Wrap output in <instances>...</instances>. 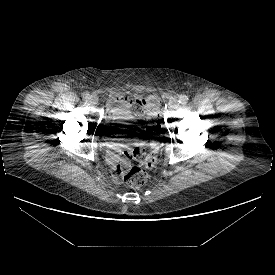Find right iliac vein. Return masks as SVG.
<instances>
[{"label": "right iliac vein", "mask_w": 275, "mask_h": 275, "mask_svg": "<svg viewBox=\"0 0 275 275\" xmlns=\"http://www.w3.org/2000/svg\"><path fill=\"white\" fill-rule=\"evenodd\" d=\"M88 101L92 104V105H96L98 103V98L94 95L90 96Z\"/></svg>", "instance_id": "63e3f726"}]
</instances>
